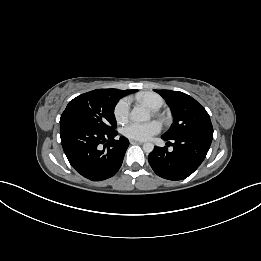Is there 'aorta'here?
<instances>
[{"label": "aorta", "mask_w": 261, "mask_h": 261, "mask_svg": "<svg viewBox=\"0 0 261 261\" xmlns=\"http://www.w3.org/2000/svg\"><path fill=\"white\" fill-rule=\"evenodd\" d=\"M130 116H131V119L136 122H145L150 119V112L147 109H145L144 107L137 106L132 109ZM153 149H154L153 143H150V142L144 143L143 150L146 153H151L153 151Z\"/></svg>", "instance_id": "762f6f07"}]
</instances>
